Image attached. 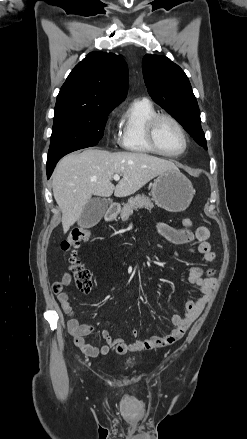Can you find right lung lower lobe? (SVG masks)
Wrapping results in <instances>:
<instances>
[{
    "label": "right lung lower lobe",
    "mask_w": 247,
    "mask_h": 439,
    "mask_svg": "<svg viewBox=\"0 0 247 439\" xmlns=\"http://www.w3.org/2000/svg\"><path fill=\"white\" fill-rule=\"evenodd\" d=\"M56 164L47 167V178L49 179Z\"/></svg>",
    "instance_id": "obj_1"
}]
</instances>
